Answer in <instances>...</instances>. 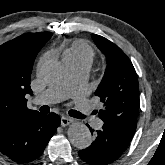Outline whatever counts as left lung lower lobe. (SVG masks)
I'll return each mask as SVG.
<instances>
[{
	"instance_id": "left-lung-lower-lobe-1",
	"label": "left lung lower lobe",
	"mask_w": 165,
	"mask_h": 165,
	"mask_svg": "<svg viewBox=\"0 0 165 165\" xmlns=\"http://www.w3.org/2000/svg\"><path fill=\"white\" fill-rule=\"evenodd\" d=\"M89 129L93 134L94 129L90 127ZM132 137L111 125L104 124L95 132L93 143L88 148L79 151V156L89 165L110 164L123 154Z\"/></svg>"
}]
</instances>
